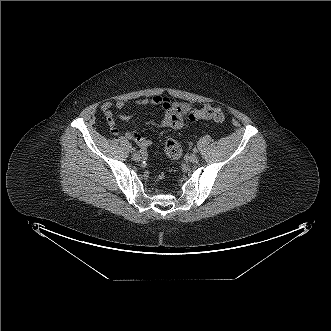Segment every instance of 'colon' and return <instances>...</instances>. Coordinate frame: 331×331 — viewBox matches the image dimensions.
Returning <instances> with one entry per match:
<instances>
[{"label":"colon","instance_id":"5ec220e1","mask_svg":"<svg viewBox=\"0 0 331 331\" xmlns=\"http://www.w3.org/2000/svg\"><path fill=\"white\" fill-rule=\"evenodd\" d=\"M189 121H195L198 119L212 120L215 122H221L224 119V113L221 108L215 106H205L201 109H196L187 116ZM166 155L170 159H177L182 153L181 146L173 139H169L165 142L164 146Z\"/></svg>","mask_w":331,"mask_h":331}]
</instances>
